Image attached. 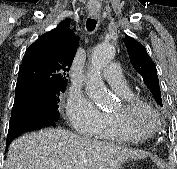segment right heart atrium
Returning a JSON list of instances; mask_svg holds the SVG:
<instances>
[{"label":"right heart atrium","instance_id":"obj_1","mask_svg":"<svg viewBox=\"0 0 177 169\" xmlns=\"http://www.w3.org/2000/svg\"><path fill=\"white\" fill-rule=\"evenodd\" d=\"M65 113L76 132L89 136L100 126L102 112L81 92L71 91L65 103Z\"/></svg>","mask_w":177,"mask_h":169}]
</instances>
